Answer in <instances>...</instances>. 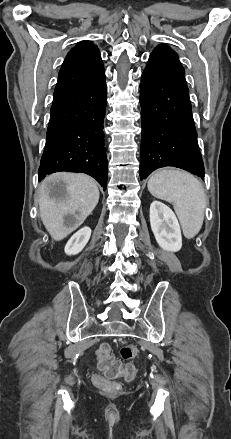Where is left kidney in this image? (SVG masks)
I'll return each instance as SVG.
<instances>
[{"label":"left kidney","mask_w":231,"mask_h":439,"mask_svg":"<svg viewBox=\"0 0 231 439\" xmlns=\"http://www.w3.org/2000/svg\"><path fill=\"white\" fill-rule=\"evenodd\" d=\"M150 224L159 246L170 252H177L182 247V236L174 212L160 201H153L150 206Z\"/></svg>","instance_id":"5707ae66"}]
</instances>
